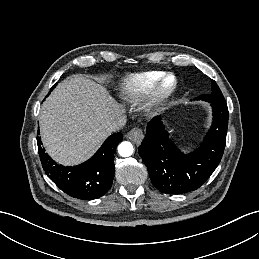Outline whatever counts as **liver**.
<instances>
[{
	"label": "liver",
	"instance_id": "6515ba94",
	"mask_svg": "<svg viewBox=\"0 0 259 259\" xmlns=\"http://www.w3.org/2000/svg\"><path fill=\"white\" fill-rule=\"evenodd\" d=\"M122 113L120 104L100 84L80 74L69 76L42 104V142L56 162L80 164L97 151L111 134L109 123Z\"/></svg>",
	"mask_w": 259,
	"mask_h": 259
}]
</instances>
